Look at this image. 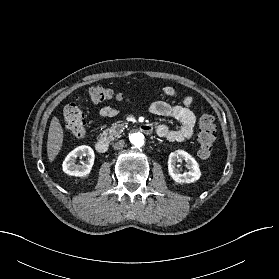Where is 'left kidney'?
Returning <instances> with one entry per match:
<instances>
[{
    "label": "left kidney",
    "instance_id": "obj_1",
    "mask_svg": "<svg viewBox=\"0 0 279 279\" xmlns=\"http://www.w3.org/2000/svg\"><path fill=\"white\" fill-rule=\"evenodd\" d=\"M185 160L188 172L181 174L176 168V162ZM168 172L170 177L177 183H192L201 176L199 165L196 160L186 151L176 150L171 152L168 159Z\"/></svg>",
    "mask_w": 279,
    "mask_h": 279
}]
</instances>
